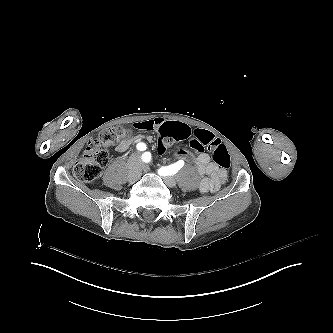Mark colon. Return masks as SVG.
<instances>
[{"mask_svg":"<svg viewBox=\"0 0 333 333\" xmlns=\"http://www.w3.org/2000/svg\"><path fill=\"white\" fill-rule=\"evenodd\" d=\"M133 126L112 127L101 131L92 138L84 148L82 156L73 166V173L77 180L81 182H91L98 179L103 167L108 163L107 149L110 147L121 148L127 141L126 137L135 135ZM197 129L188 124H176L166 122L160 129L155 151L158 154H166L169 151V144L166 142L173 138L175 140H195ZM206 147L210 150L212 160L223 170H227L231 165V158L226 146L214 138L212 134H204L200 138V152H204Z\"/></svg>","mask_w":333,"mask_h":333,"instance_id":"1","label":"colon"}]
</instances>
